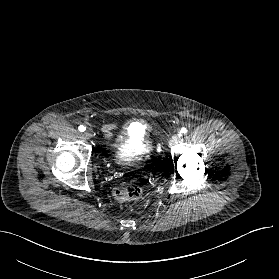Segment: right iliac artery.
Wrapping results in <instances>:
<instances>
[{
  "mask_svg": "<svg viewBox=\"0 0 279 279\" xmlns=\"http://www.w3.org/2000/svg\"><path fill=\"white\" fill-rule=\"evenodd\" d=\"M78 129L80 132H84L86 128L83 125H80Z\"/></svg>",
  "mask_w": 279,
  "mask_h": 279,
  "instance_id": "82829eb1",
  "label": "right iliac artery"
}]
</instances>
